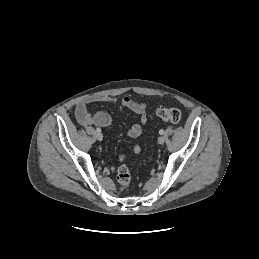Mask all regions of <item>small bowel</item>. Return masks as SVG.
Segmentation results:
<instances>
[{
    "label": "small bowel",
    "mask_w": 259,
    "mask_h": 259,
    "mask_svg": "<svg viewBox=\"0 0 259 259\" xmlns=\"http://www.w3.org/2000/svg\"><path fill=\"white\" fill-rule=\"evenodd\" d=\"M93 102H107L115 105L120 110L128 109L140 117L142 124L147 122L146 106L142 102L135 101L129 97H124L122 99H116L109 96H89L79 102L75 109V115L78 121L83 125H97L103 128H109L111 125V117L108 113L100 111L95 114L89 112V105ZM141 126L139 124L132 125L127 135L131 138H136L141 134ZM133 151L138 153L140 147L135 145ZM124 157H121L123 160Z\"/></svg>",
    "instance_id": "obj_1"
}]
</instances>
